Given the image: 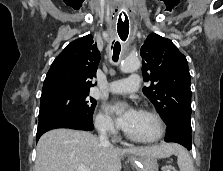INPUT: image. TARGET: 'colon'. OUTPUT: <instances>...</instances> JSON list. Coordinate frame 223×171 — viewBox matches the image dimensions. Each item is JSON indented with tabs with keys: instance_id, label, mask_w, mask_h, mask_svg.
<instances>
[{
	"instance_id": "5ec220e1",
	"label": "colon",
	"mask_w": 223,
	"mask_h": 171,
	"mask_svg": "<svg viewBox=\"0 0 223 171\" xmlns=\"http://www.w3.org/2000/svg\"><path fill=\"white\" fill-rule=\"evenodd\" d=\"M162 171H177V169L173 165H166L163 167Z\"/></svg>"
}]
</instances>
